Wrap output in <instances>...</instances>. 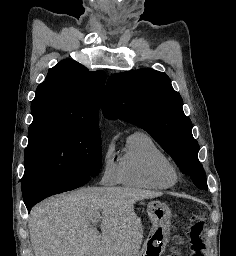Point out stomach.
Listing matches in <instances>:
<instances>
[{
	"label": "stomach",
	"instance_id": "1",
	"mask_svg": "<svg viewBox=\"0 0 236 256\" xmlns=\"http://www.w3.org/2000/svg\"><path fill=\"white\" fill-rule=\"evenodd\" d=\"M147 212L152 229L142 250L135 256H161L168 242L171 211L166 204L152 201L147 205Z\"/></svg>",
	"mask_w": 236,
	"mask_h": 256
}]
</instances>
